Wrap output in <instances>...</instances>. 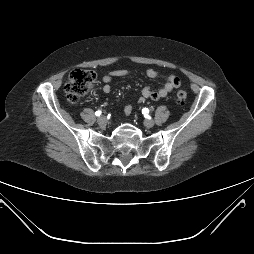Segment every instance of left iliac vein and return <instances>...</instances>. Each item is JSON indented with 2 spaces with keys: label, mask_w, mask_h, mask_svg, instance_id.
Returning <instances> with one entry per match:
<instances>
[{
  "label": "left iliac vein",
  "mask_w": 254,
  "mask_h": 254,
  "mask_svg": "<svg viewBox=\"0 0 254 254\" xmlns=\"http://www.w3.org/2000/svg\"><path fill=\"white\" fill-rule=\"evenodd\" d=\"M154 121L153 120H150V119H145L144 120V126L147 127V128H151L154 126Z\"/></svg>",
  "instance_id": "obj_1"
}]
</instances>
